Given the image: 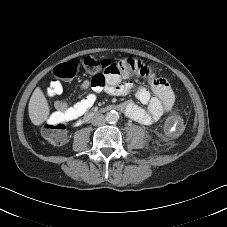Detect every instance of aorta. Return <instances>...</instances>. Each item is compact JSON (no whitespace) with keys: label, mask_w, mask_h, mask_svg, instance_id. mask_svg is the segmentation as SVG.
Wrapping results in <instances>:
<instances>
[{"label":"aorta","mask_w":227,"mask_h":227,"mask_svg":"<svg viewBox=\"0 0 227 227\" xmlns=\"http://www.w3.org/2000/svg\"><path fill=\"white\" fill-rule=\"evenodd\" d=\"M105 119L109 123H115L118 121L119 115L116 111L112 110L106 114Z\"/></svg>","instance_id":"762f6f07"}]
</instances>
